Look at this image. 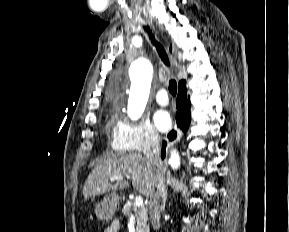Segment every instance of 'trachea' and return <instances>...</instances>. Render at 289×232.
I'll return each instance as SVG.
<instances>
[{"mask_svg":"<svg viewBox=\"0 0 289 232\" xmlns=\"http://www.w3.org/2000/svg\"><path fill=\"white\" fill-rule=\"evenodd\" d=\"M145 30L149 34V37H150L152 43L155 45V47L157 49V52H158L159 56L161 57L162 61L164 62V64L166 66H168L169 65V59H168V56H167L163 46L155 40V38H154V36H153V34H152V32H151L149 27H145ZM169 92L171 93L172 96H176L177 83L173 79H171L169 81Z\"/></svg>","mask_w":289,"mask_h":232,"instance_id":"trachea-1","label":"trachea"}]
</instances>
